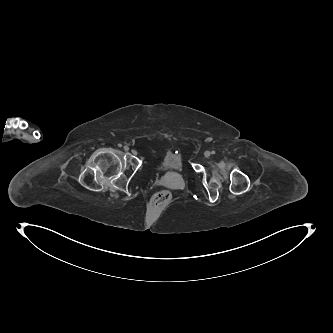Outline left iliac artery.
I'll return each mask as SVG.
<instances>
[{
  "instance_id": "left-iliac-artery-1",
  "label": "left iliac artery",
  "mask_w": 333,
  "mask_h": 333,
  "mask_svg": "<svg viewBox=\"0 0 333 333\" xmlns=\"http://www.w3.org/2000/svg\"><path fill=\"white\" fill-rule=\"evenodd\" d=\"M211 153H212V154H215V151H212Z\"/></svg>"
}]
</instances>
